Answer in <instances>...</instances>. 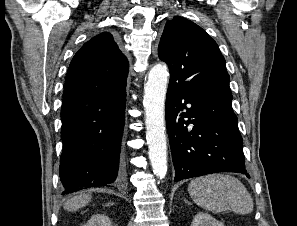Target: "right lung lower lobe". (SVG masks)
Returning a JSON list of instances; mask_svg holds the SVG:
<instances>
[{
    "label": "right lung lower lobe",
    "instance_id": "1",
    "mask_svg": "<svg viewBox=\"0 0 297 226\" xmlns=\"http://www.w3.org/2000/svg\"><path fill=\"white\" fill-rule=\"evenodd\" d=\"M125 87L63 98L59 169L63 195L121 182Z\"/></svg>",
    "mask_w": 297,
    "mask_h": 226
}]
</instances>
